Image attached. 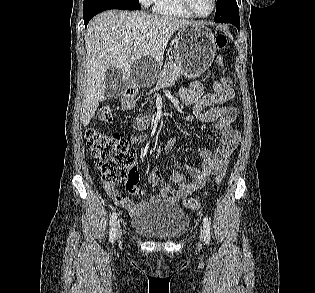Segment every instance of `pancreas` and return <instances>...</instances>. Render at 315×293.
Returning a JSON list of instances; mask_svg holds the SVG:
<instances>
[{
	"label": "pancreas",
	"mask_w": 315,
	"mask_h": 293,
	"mask_svg": "<svg viewBox=\"0 0 315 293\" xmlns=\"http://www.w3.org/2000/svg\"><path fill=\"white\" fill-rule=\"evenodd\" d=\"M182 75L181 67L179 66L178 60H171L166 63L163 70L159 74V79L156 83L155 89H160L165 86L173 85L180 79Z\"/></svg>",
	"instance_id": "cf45deb5"
}]
</instances>
